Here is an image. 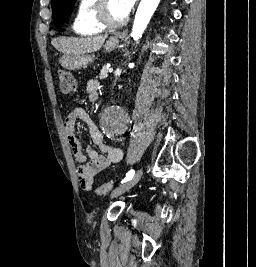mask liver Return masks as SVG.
<instances>
[{
	"instance_id": "obj_1",
	"label": "liver",
	"mask_w": 256,
	"mask_h": 267,
	"mask_svg": "<svg viewBox=\"0 0 256 267\" xmlns=\"http://www.w3.org/2000/svg\"><path fill=\"white\" fill-rule=\"evenodd\" d=\"M107 34L105 36H87V38H54L51 40L52 46L68 56H80V54H90V52H97L102 48Z\"/></svg>"
}]
</instances>
